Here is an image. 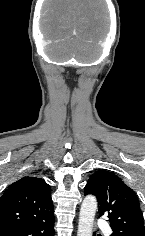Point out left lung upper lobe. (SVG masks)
Instances as JSON below:
<instances>
[{
    "instance_id": "left-lung-upper-lobe-1",
    "label": "left lung upper lobe",
    "mask_w": 145,
    "mask_h": 236,
    "mask_svg": "<svg viewBox=\"0 0 145 236\" xmlns=\"http://www.w3.org/2000/svg\"><path fill=\"white\" fill-rule=\"evenodd\" d=\"M95 195L100 216L109 218L111 236H145L143 214L135 192L113 172L99 170L91 175L84 195Z\"/></svg>"
}]
</instances>
